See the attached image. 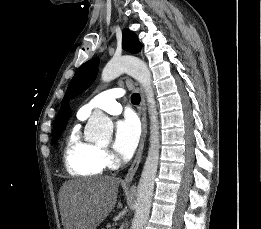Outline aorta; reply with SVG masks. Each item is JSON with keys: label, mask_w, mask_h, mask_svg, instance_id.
Listing matches in <instances>:
<instances>
[{"label": "aorta", "mask_w": 261, "mask_h": 229, "mask_svg": "<svg viewBox=\"0 0 261 229\" xmlns=\"http://www.w3.org/2000/svg\"><path fill=\"white\" fill-rule=\"evenodd\" d=\"M122 72L130 74L136 80L141 82L147 94L149 115H150V147L147 159L144 163L141 173L139 185L137 187V199L134 205L135 215L132 221L131 229H144L151 209L155 179L158 171L160 159V133L158 112L154 98V90L151 86V72L144 60L137 56H119V58H111L104 66L101 74L104 82L114 80L120 76ZM91 125L87 135L90 139H94L96 143H103L107 139H112L113 123L109 117L104 115L102 110H94L92 117L88 121Z\"/></svg>", "instance_id": "762f6f07"}]
</instances>
